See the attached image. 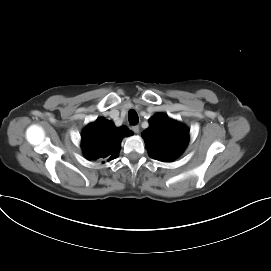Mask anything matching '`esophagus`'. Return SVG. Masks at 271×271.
<instances>
[{
    "label": "esophagus",
    "instance_id": "34e87169",
    "mask_svg": "<svg viewBox=\"0 0 271 271\" xmlns=\"http://www.w3.org/2000/svg\"><path fill=\"white\" fill-rule=\"evenodd\" d=\"M132 130H133V132L136 133V134H138V133L140 132V128H139L138 125L133 126V127H132Z\"/></svg>",
    "mask_w": 271,
    "mask_h": 271
}]
</instances>
